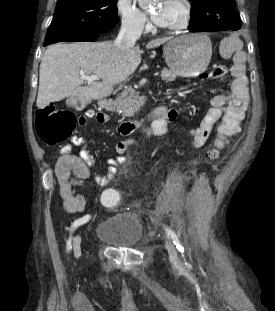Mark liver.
<instances>
[{"mask_svg": "<svg viewBox=\"0 0 275 311\" xmlns=\"http://www.w3.org/2000/svg\"><path fill=\"white\" fill-rule=\"evenodd\" d=\"M171 39H154L146 48L158 47ZM141 53L138 46L120 50L112 42L51 45L40 64L37 107L43 109L50 102L69 96H78L87 103L110 96L114 86L136 71ZM91 74L97 75L101 81L98 79L83 86L81 75Z\"/></svg>", "mask_w": 275, "mask_h": 311, "instance_id": "obj_1", "label": "liver"}]
</instances>
